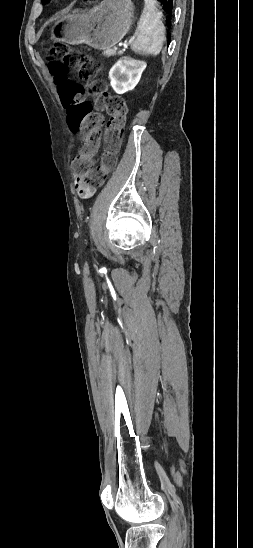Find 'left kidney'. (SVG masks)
Here are the masks:
<instances>
[{"instance_id":"5707ae66","label":"left kidney","mask_w":253,"mask_h":548,"mask_svg":"<svg viewBox=\"0 0 253 548\" xmlns=\"http://www.w3.org/2000/svg\"><path fill=\"white\" fill-rule=\"evenodd\" d=\"M146 68L144 61L122 57L109 71L110 85L117 94L131 91Z\"/></svg>"}]
</instances>
